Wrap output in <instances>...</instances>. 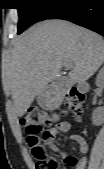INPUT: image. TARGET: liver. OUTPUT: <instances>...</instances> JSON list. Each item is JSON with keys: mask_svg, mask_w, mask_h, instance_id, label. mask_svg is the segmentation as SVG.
Returning a JSON list of instances; mask_svg holds the SVG:
<instances>
[{"mask_svg": "<svg viewBox=\"0 0 104 169\" xmlns=\"http://www.w3.org/2000/svg\"><path fill=\"white\" fill-rule=\"evenodd\" d=\"M104 62L101 35L64 20H46L16 40L2 79L17 116H23L38 93L63 66L72 83L87 81Z\"/></svg>", "mask_w": 104, "mask_h": 169, "instance_id": "1", "label": "liver"}]
</instances>
